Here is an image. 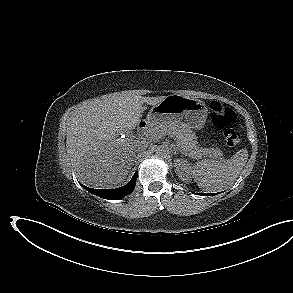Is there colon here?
I'll return each instance as SVG.
<instances>
[{"label":"colon","mask_w":293,"mask_h":293,"mask_svg":"<svg viewBox=\"0 0 293 293\" xmlns=\"http://www.w3.org/2000/svg\"><path fill=\"white\" fill-rule=\"evenodd\" d=\"M211 120L213 125L223 130L224 138L228 148L234 150L241 142L240 133L232 125L236 121L235 112L222 105L220 102L212 101L210 103Z\"/></svg>","instance_id":"5ec220e1"}]
</instances>
